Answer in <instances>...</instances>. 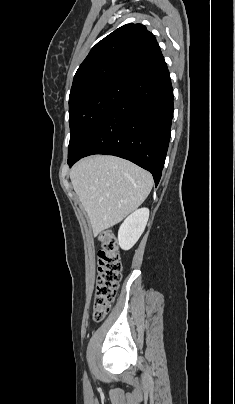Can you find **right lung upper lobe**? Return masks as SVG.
Wrapping results in <instances>:
<instances>
[{"mask_svg": "<svg viewBox=\"0 0 235 404\" xmlns=\"http://www.w3.org/2000/svg\"><path fill=\"white\" fill-rule=\"evenodd\" d=\"M164 62L156 38L144 25H124L91 49L74 76L70 97L95 84L127 83Z\"/></svg>", "mask_w": 235, "mask_h": 404, "instance_id": "1", "label": "right lung upper lobe"}]
</instances>
